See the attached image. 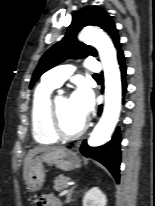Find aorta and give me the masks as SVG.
Instances as JSON below:
<instances>
[{
	"label": "aorta",
	"mask_w": 155,
	"mask_h": 206,
	"mask_svg": "<svg viewBox=\"0 0 155 206\" xmlns=\"http://www.w3.org/2000/svg\"><path fill=\"white\" fill-rule=\"evenodd\" d=\"M79 38L98 50L104 69L105 107L100 121L88 140L90 146L96 147L110 140L118 122L121 109V77L115 48L100 29L87 27L82 30Z\"/></svg>",
	"instance_id": "obj_1"
}]
</instances>
